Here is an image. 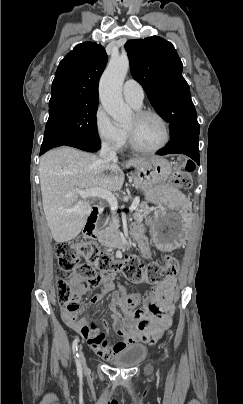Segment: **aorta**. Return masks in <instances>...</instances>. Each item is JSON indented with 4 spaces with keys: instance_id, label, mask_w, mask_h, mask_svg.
<instances>
[{
    "instance_id": "aorta-1",
    "label": "aorta",
    "mask_w": 243,
    "mask_h": 404,
    "mask_svg": "<svg viewBox=\"0 0 243 404\" xmlns=\"http://www.w3.org/2000/svg\"><path fill=\"white\" fill-rule=\"evenodd\" d=\"M129 70V60L125 54L111 56V60L100 80V102L116 122V126L127 124L133 116L132 108L126 106L122 96V84Z\"/></svg>"
}]
</instances>
